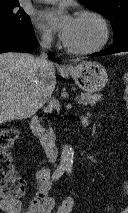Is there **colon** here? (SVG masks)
<instances>
[{"label":"colon","instance_id":"1","mask_svg":"<svg viewBox=\"0 0 128 213\" xmlns=\"http://www.w3.org/2000/svg\"><path fill=\"white\" fill-rule=\"evenodd\" d=\"M125 84L124 99L128 109V70L123 75ZM18 137V131L8 128L0 131V197L12 200L23 192L22 180L17 176L12 162L11 148ZM128 193V180L125 184ZM74 207V200L66 198L58 207L56 213H71Z\"/></svg>","mask_w":128,"mask_h":213}]
</instances>
